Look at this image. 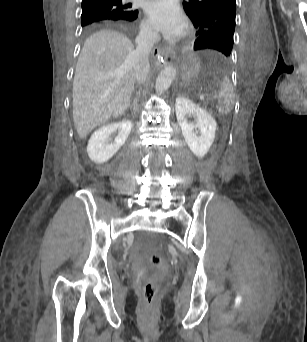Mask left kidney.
<instances>
[{
    "label": "left kidney",
    "instance_id": "1",
    "mask_svg": "<svg viewBox=\"0 0 307 342\" xmlns=\"http://www.w3.org/2000/svg\"><path fill=\"white\" fill-rule=\"evenodd\" d=\"M175 110L177 122L187 146L194 156L204 158L214 142L217 130L214 118L204 108L193 104L185 96L176 98ZM188 118H195V122H190Z\"/></svg>",
    "mask_w": 307,
    "mask_h": 342
}]
</instances>
